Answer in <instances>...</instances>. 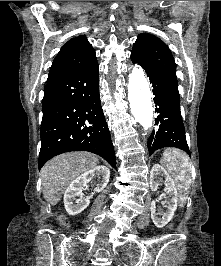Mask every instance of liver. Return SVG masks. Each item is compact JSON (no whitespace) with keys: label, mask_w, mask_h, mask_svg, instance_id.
<instances>
[{"label":"liver","mask_w":221,"mask_h":266,"mask_svg":"<svg viewBox=\"0 0 221 266\" xmlns=\"http://www.w3.org/2000/svg\"><path fill=\"white\" fill-rule=\"evenodd\" d=\"M98 163L97 156L89 152H70L51 159L41 171L44 199L56 205L66 187Z\"/></svg>","instance_id":"1"}]
</instances>
